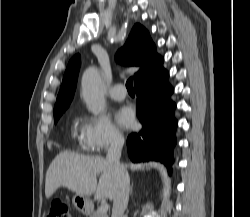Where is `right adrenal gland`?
Returning <instances> with one entry per match:
<instances>
[{
  "instance_id": "2a0ac1e0",
  "label": "right adrenal gland",
  "mask_w": 250,
  "mask_h": 217,
  "mask_svg": "<svg viewBox=\"0 0 250 217\" xmlns=\"http://www.w3.org/2000/svg\"><path fill=\"white\" fill-rule=\"evenodd\" d=\"M133 193V184H132V186H131V194Z\"/></svg>"
}]
</instances>
